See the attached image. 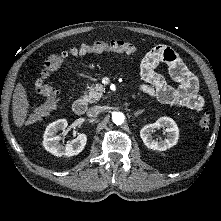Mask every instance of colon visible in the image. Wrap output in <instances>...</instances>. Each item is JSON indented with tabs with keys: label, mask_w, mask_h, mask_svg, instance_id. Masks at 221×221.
Masks as SVG:
<instances>
[{
	"label": "colon",
	"mask_w": 221,
	"mask_h": 221,
	"mask_svg": "<svg viewBox=\"0 0 221 221\" xmlns=\"http://www.w3.org/2000/svg\"><path fill=\"white\" fill-rule=\"evenodd\" d=\"M138 48L131 42L124 40H110V41H95L91 43H82L70 49V53L73 55H84L87 53H102V52H114L125 54H136ZM68 51H62L58 54H53L47 58L43 68L41 70V78L35 83V89L37 93L45 98L44 103L32 112L28 118V123H34L41 119H44L52 110L57 107L59 100V91L43 82V78L48 77L51 73L56 71L63 63L65 58L69 54ZM211 116L209 113H205L200 119V126L204 130H209L211 126Z\"/></svg>",
	"instance_id": "5ec220e1"
}]
</instances>
